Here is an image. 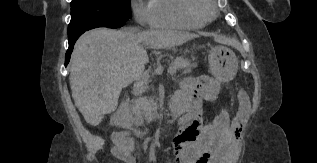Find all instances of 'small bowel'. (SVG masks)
I'll use <instances>...</instances> for the list:
<instances>
[{
  "instance_id": "c3829d8e",
  "label": "small bowel",
  "mask_w": 317,
  "mask_h": 163,
  "mask_svg": "<svg viewBox=\"0 0 317 163\" xmlns=\"http://www.w3.org/2000/svg\"><path fill=\"white\" fill-rule=\"evenodd\" d=\"M220 84L213 78L188 79L175 92L171 100L174 116L178 120L179 132L173 138L175 163H233L237 156L242 127L249 113L250 102L240 91L239 108L230 119L222 113L212 125L203 124V102L214 100ZM136 145L128 136H120L113 152L122 163H136Z\"/></svg>"
}]
</instances>
